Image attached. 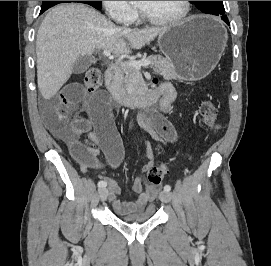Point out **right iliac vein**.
Segmentation results:
<instances>
[{
    "label": "right iliac vein",
    "mask_w": 271,
    "mask_h": 266,
    "mask_svg": "<svg viewBox=\"0 0 271 266\" xmlns=\"http://www.w3.org/2000/svg\"><path fill=\"white\" fill-rule=\"evenodd\" d=\"M99 197L101 201L106 200L107 194H108V190L107 188H100L98 191Z\"/></svg>",
    "instance_id": "63e3f726"
}]
</instances>
